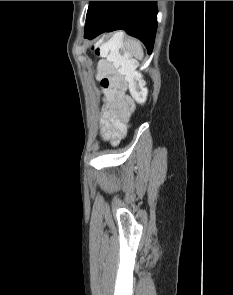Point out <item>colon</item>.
<instances>
[{
  "label": "colon",
  "instance_id": "5ec220e1",
  "mask_svg": "<svg viewBox=\"0 0 233 295\" xmlns=\"http://www.w3.org/2000/svg\"><path fill=\"white\" fill-rule=\"evenodd\" d=\"M95 53L102 58L99 67V81L105 92H121L128 83L132 97L140 104L147 98V87L140 73L136 71V62L124 47V36L114 34L98 41Z\"/></svg>",
  "mask_w": 233,
  "mask_h": 295
}]
</instances>
